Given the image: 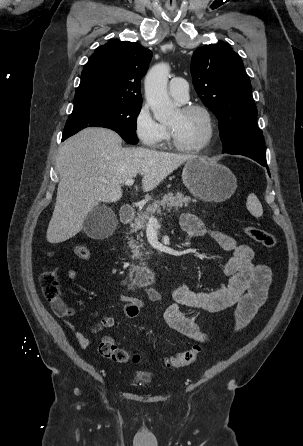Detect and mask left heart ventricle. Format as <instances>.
Returning a JSON list of instances; mask_svg holds the SVG:
<instances>
[{"label": "left heart ventricle", "instance_id": "obj_1", "mask_svg": "<svg viewBox=\"0 0 303 446\" xmlns=\"http://www.w3.org/2000/svg\"><path fill=\"white\" fill-rule=\"evenodd\" d=\"M167 126L172 130L176 140L185 146H193L203 140L207 127L202 114L184 113L178 109L168 120Z\"/></svg>", "mask_w": 303, "mask_h": 446}]
</instances>
